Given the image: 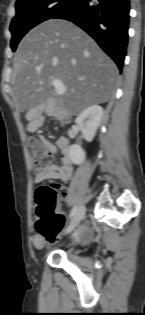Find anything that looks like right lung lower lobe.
Returning a JSON list of instances; mask_svg holds the SVG:
<instances>
[{"label":"right lung lower lobe","mask_w":145,"mask_h":315,"mask_svg":"<svg viewBox=\"0 0 145 315\" xmlns=\"http://www.w3.org/2000/svg\"><path fill=\"white\" fill-rule=\"evenodd\" d=\"M130 0H74L54 18L80 26L123 68L128 44Z\"/></svg>","instance_id":"98d812e1"}]
</instances>
